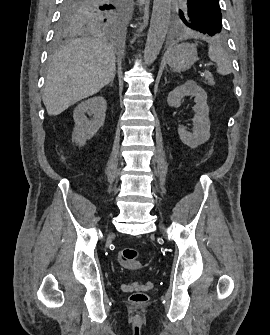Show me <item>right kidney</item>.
Returning a JSON list of instances; mask_svg holds the SVG:
<instances>
[{"label":"right kidney","mask_w":270,"mask_h":335,"mask_svg":"<svg viewBox=\"0 0 270 335\" xmlns=\"http://www.w3.org/2000/svg\"><path fill=\"white\" fill-rule=\"evenodd\" d=\"M107 110V102L102 96H94L86 102H81L74 110L73 118L75 122L74 132L72 134V142L78 146H85L86 140H90L98 132L99 128L105 122V112ZM85 114L92 116V120H88Z\"/></svg>","instance_id":"ca27d5eb"}]
</instances>
